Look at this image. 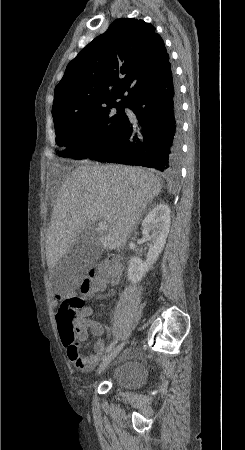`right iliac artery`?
<instances>
[{
	"label": "right iliac artery",
	"mask_w": 245,
	"mask_h": 450,
	"mask_svg": "<svg viewBox=\"0 0 245 450\" xmlns=\"http://www.w3.org/2000/svg\"><path fill=\"white\" fill-rule=\"evenodd\" d=\"M117 343V340L113 341L107 348H106V353L110 352L112 350V348L115 346V344Z\"/></svg>",
	"instance_id": "right-iliac-artery-1"
}]
</instances>
